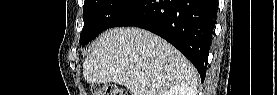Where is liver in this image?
<instances>
[{"label": "liver", "instance_id": "obj_1", "mask_svg": "<svg viewBox=\"0 0 277 95\" xmlns=\"http://www.w3.org/2000/svg\"><path fill=\"white\" fill-rule=\"evenodd\" d=\"M88 83H116L132 95H165L175 86L195 95L194 66L171 44L140 28H114L93 44L83 62Z\"/></svg>", "mask_w": 277, "mask_h": 95}]
</instances>
